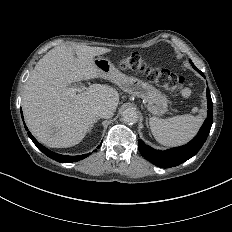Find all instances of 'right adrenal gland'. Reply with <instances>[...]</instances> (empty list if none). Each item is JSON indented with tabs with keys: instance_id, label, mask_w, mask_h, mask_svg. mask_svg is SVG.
I'll use <instances>...</instances> for the list:
<instances>
[{
	"instance_id": "2a0ac1e0",
	"label": "right adrenal gland",
	"mask_w": 232,
	"mask_h": 232,
	"mask_svg": "<svg viewBox=\"0 0 232 232\" xmlns=\"http://www.w3.org/2000/svg\"><path fill=\"white\" fill-rule=\"evenodd\" d=\"M93 126H94V123L90 126V128H89L88 132H91V130H92V128H93Z\"/></svg>"
}]
</instances>
